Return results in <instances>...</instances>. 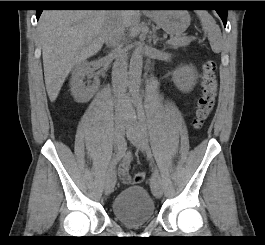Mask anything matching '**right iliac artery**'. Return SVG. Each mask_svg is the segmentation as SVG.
Here are the masks:
<instances>
[{
    "label": "right iliac artery",
    "mask_w": 265,
    "mask_h": 245,
    "mask_svg": "<svg viewBox=\"0 0 265 245\" xmlns=\"http://www.w3.org/2000/svg\"><path fill=\"white\" fill-rule=\"evenodd\" d=\"M123 152H124V145L122 144V142H120L117 145L115 152L108 163L109 170H111L117 164V162L122 158Z\"/></svg>",
    "instance_id": "82829eb1"
}]
</instances>
